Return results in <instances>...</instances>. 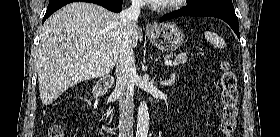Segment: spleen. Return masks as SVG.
Returning a JSON list of instances; mask_svg holds the SVG:
<instances>
[{"mask_svg": "<svg viewBox=\"0 0 280 137\" xmlns=\"http://www.w3.org/2000/svg\"><path fill=\"white\" fill-rule=\"evenodd\" d=\"M205 38L216 48L224 49L226 47L225 41L214 32L205 31Z\"/></svg>", "mask_w": 280, "mask_h": 137, "instance_id": "obj_1", "label": "spleen"}]
</instances>
